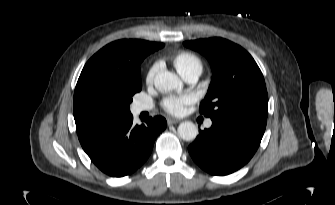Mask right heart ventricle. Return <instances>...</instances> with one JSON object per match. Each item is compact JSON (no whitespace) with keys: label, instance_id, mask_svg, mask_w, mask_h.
<instances>
[{"label":"right heart ventricle","instance_id":"right-heart-ventricle-1","mask_svg":"<svg viewBox=\"0 0 335 205\" xmlns=\"http://www.w3.org/2000/svg\"><path fill=\"white\" fill-rule=\"evenodd\" d=\"M173 64L182 76L185 74L198 71L201 73L203 64L201 59L194 53L191 52H181L173 58Z\"/></svg>","mask_w":335,"mask_h":205}]
</instances>
